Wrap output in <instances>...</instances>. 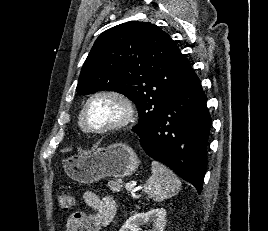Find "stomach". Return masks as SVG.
<instances>
[{
    "label": "stomach",
    "mask_w": 268,
    "mask_h": 231,
    "mask_svg": "<svg viewBox=\"0 0 268 231\" xmlns=\"http://www.w3.org/2000/svg\"><path fill=\"white\" fill-rule=\"evenodd\" d=\"M139 166L138 156L126 144L118 143L62 161L65 173L80 183H93L105 177L121 179L132 175Z\"/></svg>",
    "instance_id": "obj_1"
}]
</instances>
